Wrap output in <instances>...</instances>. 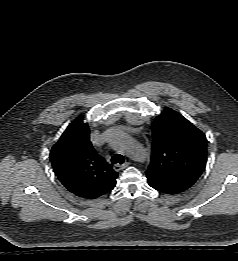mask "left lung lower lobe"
<instances>
[{
  "label": "left lung lower lobe",
  "mask_w": 238,
  "mask_h": 261,
  "mask_svg": "<svg viewBox=\"0 0 238 261\" xmlns=\"http://www.w3.org/2000/svg\"><path fill=\"white\" fill-rule=\"evenodd\" d=\"M149 185H150L152 188H154V189H156L157 191H159V192L166 193V194H172L169 190H166V189H163V188H159V187H157V186H155V185H152V184H150V183H149Z\"/></svg>",
  "instance_id": "1"
}]
</instances>
